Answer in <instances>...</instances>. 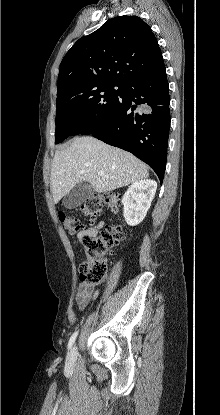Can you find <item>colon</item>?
<instances>
[{
    "label": "colon",
    "mask_w": 220,
    "mask_h": 415,
    "mask_svg": "<svg viewBox=\"0 0 220 415\" xmlns=\"http://www.w3.org/2000/svg\"><path fill=\"white\" fill-rule=\"evenodd\" d=\"M122 209L121 195L117 193H100L86 198L81 210L93 223L106 210L119 213ZM59 220L71 234L78 233L83 225L74 216L59 212ZM124 229L119 225L108 226L104 231L83 237L82 245L86 252V260L80 265V280L89 286L100 285L107 275L105 257L119 243Z\"/></svg>",
    "instance_id": "obj_1"
}]
</instances>
